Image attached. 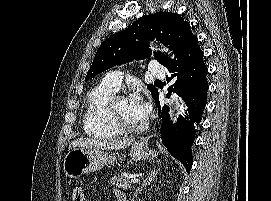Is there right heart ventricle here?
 I'll use <instances>...</instances> for the list:
<instances>
[{
    "instance_id": "1",
    "label": "right heart ventricle",
    "mask_w": 271,
    "mask_h": 201,
    "mask_svg": "<svg viewBox=\"0 0 271 201\" xmlns=\"http://www.w3.org/2000/svg\"><path fill=\"white\" fill-rule=\"evenodd\" d=\"M114 93V89L99 85L88 95L83 117L84 131L87 135L107 139L122 133L113 124L107 111L108 102Z\"/></svg>"
}]
</instances>
